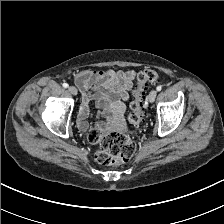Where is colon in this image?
<instances>
[{"instance_id": "5ec220e1", "label": "colon", "mask_w": 224, "mask_h": 224, "mask_svg": "<svg viewBox=\"0 0 224 224\" xmlns=\"http://www.w3.org/2000/svg\"><path fill=\"white\" fill-rule=\"evenodd\" d=\"M158 81L159 74L155 70L145 69L138 73L128 116L133 126L138 125L143 119L144 94L148 85ZM87 138L90 143L98 145L94 158L101 165H122L129 161L136 149L135 142L129 136L116 132L104 135L98 127H92L88 131Z\"/></svg>"}]
</instances>
